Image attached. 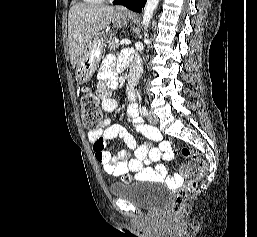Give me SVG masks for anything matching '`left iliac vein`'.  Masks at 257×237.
<instances>
[{"label": "left iliac vein", "instance_id": "left-iliac-vein-1", "mask_svg": "<svg viewBox=\"0 0 257 237\" xmlns=\"http://www.w3.org/2000/svg\"><path fill=\"white\" fill-rule=\"evenodd\" d=\"M148 120L151 124H157L158 123V118L157 116L153 113V112H150L149 115H148Z\"/></svg>", "mask_w": 257, "mask_h": 237}]
</instances>
